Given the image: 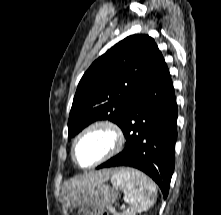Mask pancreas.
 Instances as JSON below:
<instances>
[{"label": "pancreas", "mask_w": 221, "mask_h": 215, "mask_svg": "<svg viewBox=\"0 0 221 215\" xmlns=\"http://www.w3.org/2000/svg\"><path fill=\"white\" fill-rule=\"evenodd\" d=\"M114 215H133V212H131V211H125V212L122 213V214L115 213Z\"/></svg>", "instance_id": "obj_1"}]
</instances>
